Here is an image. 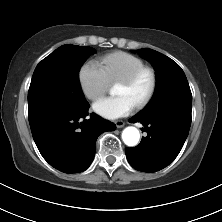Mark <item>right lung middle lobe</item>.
<instances>
[{
	"instance_id": "obj_1",
	"label": "right lung middle lobe",
	"mask_w": 222,
	"mask_h": 222,
	"mask_svg": "<svg viewBox=\"0 0 222 222\" xmlns=\"http://www.w3.org/2000/svg\"><path fill=\"white\" fill-rule=\"evenodd\" d=\"M93 48L63 45L43 59L31 80L29 114L42 110H76L88 105L80 87L78 73Z\"/></svg>"
}]
</instances>
